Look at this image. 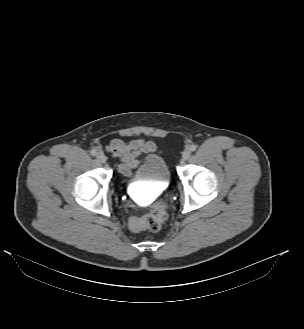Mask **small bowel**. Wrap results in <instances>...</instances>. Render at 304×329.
<instances>
[{"label":"small bowel","mask_w":304,"mask_h":329,"mask_svg":"<svg viewBox=\"0 0 304 329\" xmlns=\"http://www.w3.org/2000/svg\"><path fill=\"white\" fill-rule=\"evenodd\" d=\"M105 149L113 157L120 159L121 163L118 168L120 174L130 177L142 160L141 154L155 152L156 145L154 142L145 141L142 138L133 139L128 143L121 139H113Z\"/></svg>","instance_id":"obj_1"}]
</instances>
